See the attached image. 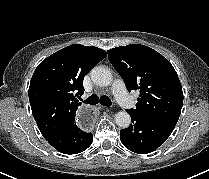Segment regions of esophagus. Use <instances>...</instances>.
I'll list each match as a JSON object with an SVG mask.
<instances>
[{"instance_id": "obj_1", "label": "esophagus", "mask_w": 209, "mask_h": 179, "mask_svg": "<svg viewBox=\"0 0 209 179\" xmlns=\"http://www.w3.org/2000/svg\"><path fill=\"white\" fill-rule=\"evenodd\" d=\"M97 111L93 106H82L76 113L78 125L84 131H91L95 127Z\"/></svg>"}]
</instances>
